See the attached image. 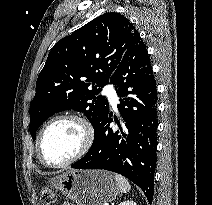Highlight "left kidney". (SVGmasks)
Here are the masks:
<instances>
[{"mask_svg": "<svg viewBox=\"0 0 212 205\" xmlns=\"http://www.w3.org/2000/svg\"><path fill=\"white\" fill-rule=\"evenodd\" d=\"M119 205H137V204L135 202H133L132 200H127V201L120 203Z\"/></svg>", "mask_w": 212, "mask_h": 205, "instance_id": "left-kidney-1", "label": "left kidney"}]
</instances>
